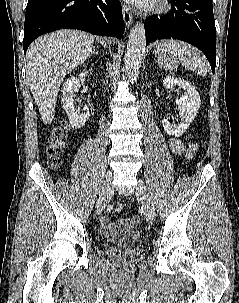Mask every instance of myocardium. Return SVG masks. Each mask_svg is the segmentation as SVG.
<instances>
[{
	"mask_svg": "<svg viewBox=\"0 0 239 303\" xmlns=\"http://www.w3.org/2000/svg\"><path fill=\"white\" fill-rule=\"evenodd\" d=\"M169 8V0H152L148 6V11L152 13H165Z\"/></svg>",
	"mask_w": 239,
	"mask_h": 303,
	"instance_id": "1",
	"label": "myocardium"
}]
</instances>
